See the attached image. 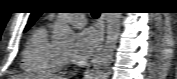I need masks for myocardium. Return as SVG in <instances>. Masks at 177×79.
Instances as JSON below:
<instances>
[{"instance_id": "obj_1", "label": "myocardium", "mask_w": 177, "mask_h": 79, "mask_svg": "<svg viewBox=\"0 0 177 79\" xmlns=\"http://www.w3.org/2000/svg\"><path fill=\"white\" fill-rule=\"evenodd\" d=\"M60 53H61V57H62V62L65 64L69 63V59H68L67 54L64 52H60Z\"/></svg>"}]
</instances>
